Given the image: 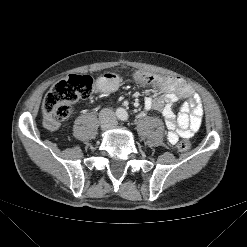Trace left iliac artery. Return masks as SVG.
<instances>
[{
	"label": "left iliac artery",
	"instance_id": "obj_1",
	"mask_svg": "<svg viewBox=\"0 0 247 247\" xmlns=\"http://www.w3.org/2000/svg\"><path fill=\"white\" fill-rule=\"evenodd\" d=\"M127 119H128L127 113H123L122 116H121V120L122 121H127Z\"/></svg>",
	"mask_w": 247,
	"mask_h": 247
}]
</instances>
